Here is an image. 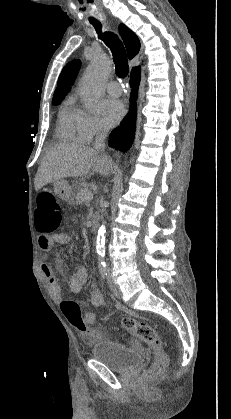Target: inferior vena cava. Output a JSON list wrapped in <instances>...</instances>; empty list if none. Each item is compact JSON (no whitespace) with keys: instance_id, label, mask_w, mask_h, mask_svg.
Wrapping results in <instances>:
<instances>
[{"instance_id":"obj_1","label":"inferior vena cava","mask_w":231,"mask_h":419,"mask_svg":"<svg viewBox=\"0 0 231 419\" xmlns=\"http://www.w3.org/2000/svg\"><path fill=\"white\" fill-rule=\"evenodd\" d=\"M107 135V130L106 129H102L99 134L96 136L95 139V143H94V148L97 151H103L105 149V138Z\"/></svg>"}]
</instances>
